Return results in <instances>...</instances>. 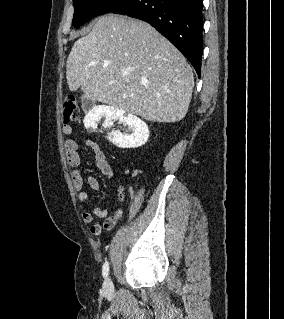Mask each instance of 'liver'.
Masks as SVG:
<instances>
[{
    "mask_svg": "<svg viewBox=\"0 0 284 319\" xmlns=\"http://www.w3.org/2000/svg\"><path fill=\"white\" fill-rule=\"evenodd\" d=\"M71 91L148 121L176 122L188 111L194 77L185 57L151 25L100 17L66 62Z\"/></svg>",
    "mask_w": 284,
    "mask_h": 319,
    "instance_id": "1",
    "label": "liver"
}]
</instances>
